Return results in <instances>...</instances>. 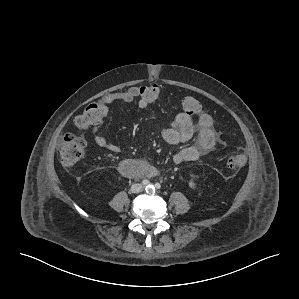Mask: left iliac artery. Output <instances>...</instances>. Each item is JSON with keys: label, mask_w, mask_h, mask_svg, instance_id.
Wrapping results in <instances>:
<instances>
[{"label": "left iliac artery", "mask_w": 299, "mask_h": 299, "mask_svg": "<svg viewBox=\"0 0 299 299\" xmlns=\"http://www.w3.org/2000/svg\"><path fill=\"white\" fill-rule=\"evenodd\" d=\"M153 188H156V189H160L161 188V184L160 183H155V187L154 186H152ZM146 191H147V189H146ZM150 190L148 189V191L147 192H149ZM151 192V191H150Z\"/></svg>", "instance_id": "obj_1"}]
</instances>
